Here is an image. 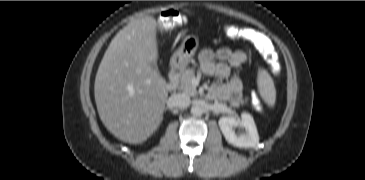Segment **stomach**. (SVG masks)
<instances>
[{"instance_id":"0dacf381","label":"stomach","mask_w":365,"mask_h":180,"mask_svg":"<svg viewBox=\"0 0 365 180\" xmlns=\"http://www.w3.org/2000/svg\"><path fill=\"white\" fill-rule=\"evenodd\" d=\"M199 47V38L195 35L184 37L180 47L173 53L170 65L176 69H184L191 62Z\"/></svg>"}]
</instances>
